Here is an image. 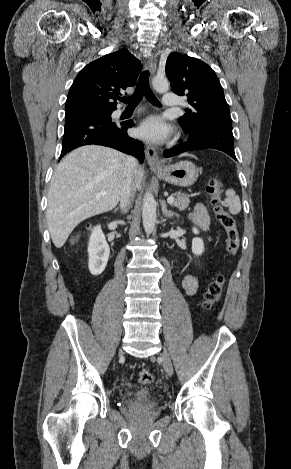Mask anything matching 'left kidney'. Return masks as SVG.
<instances>
[{
    "instance_id": "1",
    "label": "left kidney",
    "mask_w": 291,
    "mask_h": 469,
    "mask_svg": "<svg viewBox=\"0 0 291 469\" xmlns=\"http://www.w3.org/2000/svg\"><path fill=\"white\" fill-rule=\"evenodd\" d=\"M193 233L198 234V229L193 228ZM192 252L196 256H199L204 252V243L201 238L196 237L192 240Z\"/></svg>"
}]
</instances>
